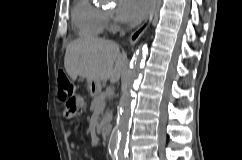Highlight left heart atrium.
I'll list each match as a JSON object with an SVG mask.
<instances>
[{
    "label": "left heart atrium",
    "mask_w": 242,
    "mask_h": 160,
    "mask_svg": "<svg viewBox=\"0 0 242 160\" xmlns=\"http://www.w3.org/2000/svg\"><path fill=\"white\" fill-rule=\"evenodd\" d=\"M152 0H118L116 17L126 24L140 22L150 11Z\"/></svg>",
    "instance_id": "left-heart-atrium-1"
}]
</instances>
